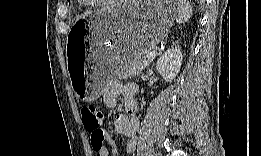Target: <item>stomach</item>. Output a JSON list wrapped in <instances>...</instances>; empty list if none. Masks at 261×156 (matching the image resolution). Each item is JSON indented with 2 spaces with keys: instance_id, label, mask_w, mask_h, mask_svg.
<instances>
[{
  "instance_id": "stomach-1",
  "label": "stomach",
  "mask_w": 261,
  "mask_h": 156,
  "mask_svg": "<svg viewBox=\"0 0 261 156\" xmlns=\"http://www.w3.org/2000/svg\"><path fill=\"white\" fill-rule=\"evenodd\" d=\"M176 2H121L78 19L67 37L70 82L83 101L96 100L103 87L123 76L135 59L164 39L173 24ZM76 40L89 42V54L79 57Z\"/></svg>"
}]
</instances>
